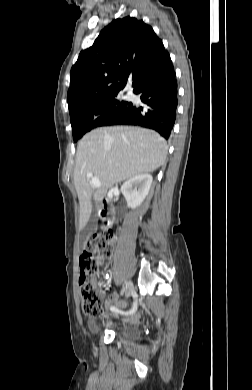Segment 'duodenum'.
Here are the masks:
<instances>
[{
	"mask_svg": "<svg viewBox=\"0 0 252 390\" xmlns=\"http://www.w3.org/2000/svg\"><path fill=\"white\" fill-rule=\"evenodd\" d=\"M102 204H103L102 216L107 218L109 224L110 222H112L110 218V202L107 199H103Z\"/></svg>",
	"mask_w": 252,
	"mask_h": 390,
	"instance_id": "duodenum-1",
	"label": "duodenum"
}]
</instances>
